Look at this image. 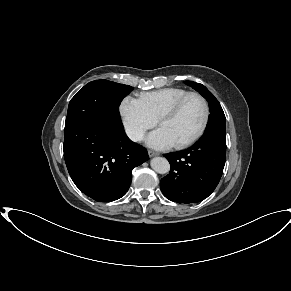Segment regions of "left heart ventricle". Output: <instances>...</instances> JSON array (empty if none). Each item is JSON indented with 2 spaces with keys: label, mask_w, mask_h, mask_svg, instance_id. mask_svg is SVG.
Wrapping results in <instances>:
<instances>
[{
  "label": "left heart ventricle",
  "mask_w": 291,
  "mask_h": 291,
  "mask_svg": "<svg viewBox=\"0 0 291 291\" xmlns=\"http://www.w3.org/2000/svg\"><path fill=\"white\" fill-rule=\"evenodd\" d=\"M204 119V105L198 97H190L178 114L163 121L159 128L163 129L174 144L191 138L201 127Z\"/></svg>",
  "instance_id": "obj_1"
}]
</instances>
